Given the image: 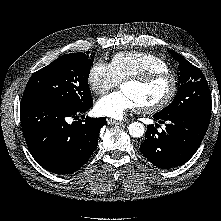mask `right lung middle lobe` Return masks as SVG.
<instances>
[{"label":"right lung middle lobe","instance_id":"obj_1","mask_svg":"<svg viewBox=\"0 0 221 221\" xmlns=\"http://www.w3.org/2000/svg\"><path fill=\"white\" fill-rule=\"evenodd\" d=\"M92 64L88 52L61 56L30 77L22 101L42 99L78 108L92 104L88 86Z\"/></svg>","mask_w":221,"mask_h":221}]
</instances>
